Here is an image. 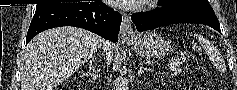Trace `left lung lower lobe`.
Returning a JSON list of instances; mask_svg holds the SVG:
<instances>
[{
  "instance_id": "1",
  "label": "left lung lower lobe",
  "mask_w": 237,
  "mask_h": 90,
  "mask_svg": "<svg viewBox=\"0 0 237 90\" xmlns=\"http://www.w3.org/2000/svg\"><path fill=\"white\" fill-rule=\"evenodd\" d=\"M131 19L139 32L176 23H198L213 27L221 33L215 13L207 10L162 6L153 11L135 13Z\"/></svg>"
}]
</instances>
